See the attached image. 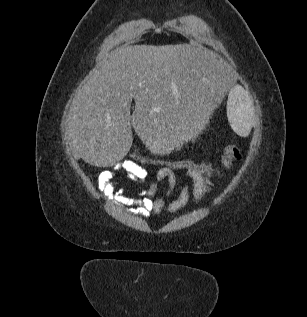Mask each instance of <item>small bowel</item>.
I'll return each mask as SVG.
<instances>
[{
    "mask_svg": "<svg viewBox=\"0 0 307 317\" xmlns=\"http://www.w3.org/2000/svg\"><path fill=\"white\" fill-rule=\"evenodd\" d=\"M116 170H121L129 181L141 188L137 199L124 197L121 193L116 198L123 203L135 205V212L144 217H149L152 213H176L188 204L191 195L193 202L197 203L211 190L212 186L211 181L203 174L194 170H187L186 182L182 186L178 197L170 203H166L177 185L175 172L168 168H161L156 173L155 180L147 184L148 170L133 161L124 159L106 168L98 176V188L107 197L112 196V179ZM162 181L167 182V189L161 197L153 199L158 191V185Z\"/></svg>",
    "mask_w": 307,
    "mask_h": 317,
    "instance_id": "obj_1",
    "label": "small bowel"
}]
</instances>
